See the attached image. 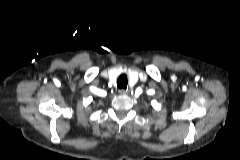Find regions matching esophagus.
<instances>
[{
	"instance_id": "obj_1",
	"label": "esophagus",
	"mask_w": 240,
	"mask_h": 160,
	"mask_svg": "<svg viewBox=\"0 0 240 160\" xmlns=\"http://www.w3.org/2000/svg\"><path fill=\"white\" fill-rule=\"evenodd\" d=\"M119 92H120V94H128L129 93L128 89H121Z\"/></svg>"
}]
</instances>
